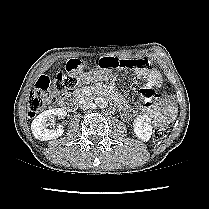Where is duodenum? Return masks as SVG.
Segmentation results:
<instances>
[{
  "label": "duodenum",
  "mask_w": 209,
  "mask_h": 209,
  "mask_svg": "<svg viewBox=\"0 0 209 209\" xmlns=\"http://www.w3.org/2000/svg\"><path fill=\"white\" fill-rule=\"evenodd\" d=\"M98 93L101 95H110L113 99H115L119 103L122 101L121 97L115 92H111V91H107V90H100V91H98ZM82 96H83L82 91H78L72 95H70V94L63 95V97L60 101V105L63 108L73 110L75 108V105L77 104L78 100Z\"/></svg>",
  "instance_id": "1"
}]
</instances>
